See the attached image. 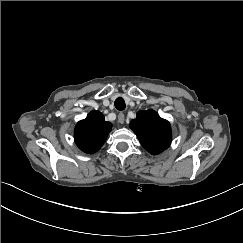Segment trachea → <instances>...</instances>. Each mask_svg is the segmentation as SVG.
Returning <instances> with one entry per match:
<instances>
[{
	"instance_id": "trachea-1",
	"label": "trachea",
	"mask_w": 243,
	"mask_h": 243,
	"mask_svg": "<svg viewBox=\"0 0 243 243\" xmlns=\"http://www.w3.org/2000/svg\"><path fill=\"white\" fill-rule=\"evenodd\" d=\"M126 107V104H125V101L123 98L121 97H118L116 100H115V108L119 111H122L124 110Z\"/></svg>"
}]
</instances>
